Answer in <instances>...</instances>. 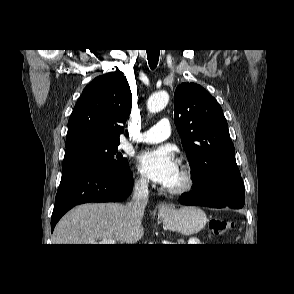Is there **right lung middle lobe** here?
<instances>
[{"label": "right lung middle lobe", "instance_id": "1", "mask_svg": "<svg viewBox=\"0 0 294 294\" xmlns=\"http://www.w3.org/2000/svg\"><path fill=\"white\" fill-rule=\"evenodd\" d=\"M120 142L83 139L66 144L62 175L80 168H97L124 172L128 161L118 151Z\"/></svg>", "mask_w": 294, "mask_h": 294}]
</instances>
